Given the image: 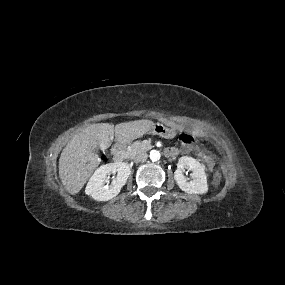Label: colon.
Returning a JSON list of instances; mask_svg holds the SVG:
<instances>
[{
    "mask_svg": "<svg viewBox=\"0 0 285 285\" xmlns=\"http://www.w3.org/2000/svg\"><path fill=\"white\" fill-rule=\"evenodd\" d=\"M178 139L180 142L184 143V147L187 150H193L198 146V141L192 133L182 132L179 134ZM215 183L220 184L222 182L223 176L219 169L215 171Z\"/></svg>",
    "mask_w": 285,
    "mask_h": 285,
    "instance_id": "5ec220e1",
    "label": "colon"
}]
</instances>
